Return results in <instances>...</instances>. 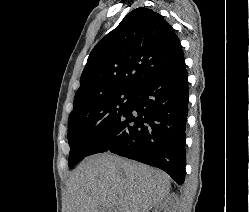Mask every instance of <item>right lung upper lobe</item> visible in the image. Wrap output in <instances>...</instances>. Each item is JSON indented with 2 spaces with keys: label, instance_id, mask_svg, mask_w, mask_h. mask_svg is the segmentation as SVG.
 <instances>
[{
  "label": "right lung upper lobe",
  "instance_id": "right-lung-upper-lobe-1",
  "mask_svg": "<svg viewBox=\"0 0 249 212\" xmlns=\"http://www.w3.org/2000/svg\"><path fill=\"white\" fill-rule=\"evenodd\" d=\"M183 58L180 41L163 17L134 9L90 53L74 108L101 95L135 92Z\"/></svg>",
  "mask_w": 249,
  "mask_h": 212
}]
</instances>
